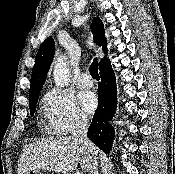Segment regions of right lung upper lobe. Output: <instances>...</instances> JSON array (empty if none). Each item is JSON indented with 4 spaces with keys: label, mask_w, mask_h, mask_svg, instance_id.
I'll list each match as a JSON object with an SVG mask.
<instances>
[{
    "label": "right lung upper lobe",
    "mask_w": 175,
    "mask_h": 174,
    "mask_svg": "<svg viewBox=\"0 0 175 174\" xmlns=\"http://www.w3.org/2000/svg\"><path fill=\"white\" fill-rule=\"evenodd\" d=\"M91 29L95 43L99 46H103V50L105 53H107V42L102 21L99 18H95L91 24ZM54 53L55 43L54 40L50 37L46 39L43 44H41V47L35 58V65L33 67L31 76L29 101L38 97V93L43 87ZM107 61V59L102 60L100 62V67Z\"/></svg>",
    "instance_id": "cb5924a9"
}]
</instances>
